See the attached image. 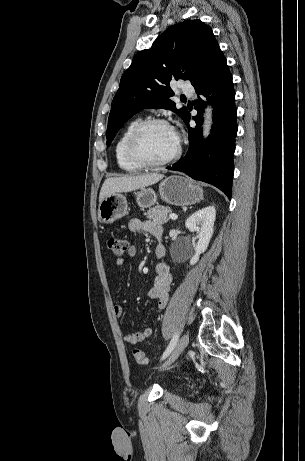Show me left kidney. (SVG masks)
<instances>
[{
    "mask_svg": "<svg viewBox=\"0 0 305 461\" xmlns=\"http://www.w3.org/2000/svg\"><path fill=\"white\" fill-rule=\"evenodd\" d=\"M215 217V207L208 206L198 210L186 220V228L190 232H196L198 237V242L194 247L195 254L190 259V265L197 263L200 254L206 251L214 232Z\"/></svg>",
    "mask_w": 305,
    "mask_h": 461,
    "instance_id": "left-kidney-1",
    "label": "left kidney"
}]
</instances>
